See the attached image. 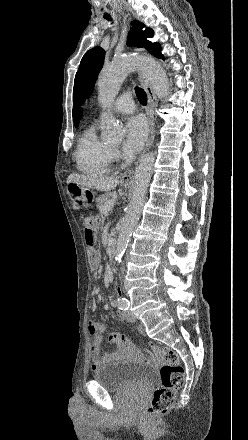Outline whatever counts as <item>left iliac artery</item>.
Instances as JSON below:
<instances>
[{
	"mask_svg": "<svg viewBox=\"0 0 248 440\" xmlns=\"http://www.w3.org/2000/svg\"><path fill=\"white\" fill-rule=\"evenodd\" d=\"M117 306L120 310H127L130 306V302L126 298H118Z\"/></svg>",
	"mask_w": 248,
	"mask_h": 440,
	"instance_id": "1",
	"label": "left iliac artery"
}]
</instances>
